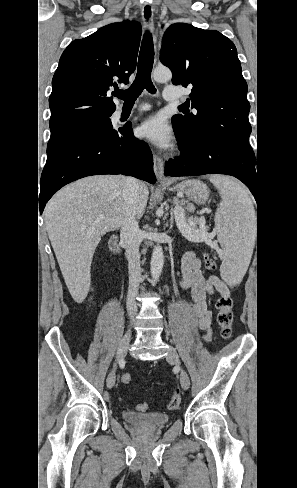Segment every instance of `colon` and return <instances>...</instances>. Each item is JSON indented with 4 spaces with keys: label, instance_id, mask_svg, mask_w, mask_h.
<instances>
[{
    "label": "colon",
    "instance_id": "colon-1",
    "mask_svg": "<svg viewBox=\"0 0 297 488\" xmlns=\"http://www.w3.org/2000/svg\"><path fill=\"white\" fill-rule=\"evenodd\" d=\"M204 266L209 271H215L217 269V263L214 258L210 256L204 257ZM217 322L219 325L220 335L223 339L227 340L232 335V325H233V312H232V300L230 297H220L217 301ZM130 380V372L128 370H123L121 372V381L128 383ZM180 395L179 391L176 390L171 397L168 407L171 410H176L180 406ZM148 409V404L143 402L138 404L137 410L144 412Z\"/></svg>",
    "mask_w": 297,
    "mask_h": 488
}]
</instances>
